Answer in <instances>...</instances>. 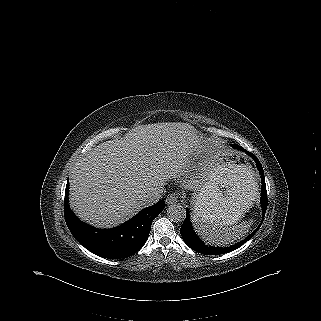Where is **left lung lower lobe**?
Listing matches in <instances>:
<instances>
[{
  "instance_id": "0a47b994",
  "label": "left lung lower lobe",
  "mask_w": 321,
  "mask_h": 321,
  "mask_svg": "<svg viewBox=\"0 0 321 321\" xmlns=\"http://www.w3.org/2000/svg\"><path fill=\"white\" fill-rule=\"evenodd\" d=\"M235 149H239L241 151H245L249 156H251L254 161L256 162L257 168L259 170V173L261 175V181H262V191H261V207H262V212H263V219H264V214L267 208V193H266V184H265V178H264V172H263V168L259 162V160L257 159V157L250 153L247 152L243 147L241 146H237V147H233ZM186 218L185 221L180 229V233L181 236L183 237V240L185 241V243L194 251H197L199 253L205 254V255H219V254H224V253H228L230 251H233L235 249H237L238 247H240L241 245H243L245 242H247L251 237L254 236V234L257 232V230L259 229V227L253 231L248 237H246L243 241L235 244V245H231L230 247H211V246H207L205 245L200 239L199 237L196 235V233L193 231L192 226H191V222H190V214H189V209L186 208ZM261 225V224H260Z\"/></svg>"
}]
</instances>
